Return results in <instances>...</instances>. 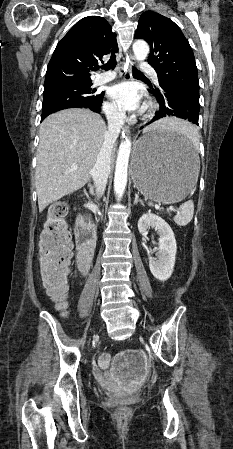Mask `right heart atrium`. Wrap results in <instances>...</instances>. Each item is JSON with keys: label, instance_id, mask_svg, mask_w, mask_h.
<instances>
[{"label": "right heart atrium", "instance_id": "d8ad5b80", "mask_svg": "<svg viewBox=\"0 0 233 449\" xmlns=\"http://www.w3.org/2000/svg\"><path fill=\"white\" fill-rule=\"evenodd\" d=\"M103 110L109 120L118 122L122 119V113L114 103L106 102Z\"/></svg>", "mask_w": 233, "mask_h": 449}]
</instances>
